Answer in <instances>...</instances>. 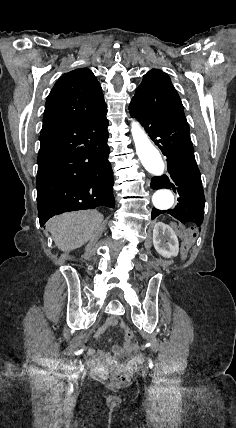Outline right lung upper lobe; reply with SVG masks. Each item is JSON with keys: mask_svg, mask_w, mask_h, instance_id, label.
Masks as SVG:
<instances>
[{"mask_svg": "<svg viewBox=\"0 0 236 428\" xmlns=\"http://www.w3.org/2000/svg\"><path fill=\"white\" fill-rule=\"evenodd\" d=\"M105 111L102 88L92 71L75 69L60 77L51 90L41 131L86 121Z\"/></svg>", "mask_w": 236, "mask_h": 428, "instance_id": "obj_1", "label": "right lung upper lobe"}]
</instances>
